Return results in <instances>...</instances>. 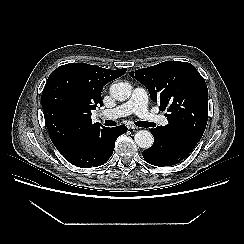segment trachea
Instances as JSON below:
<instances>
[{"mask_svg": "<svg viewBox=\"0 0 244 244\" xmlns=\"http://www.w3.org/2000/svg\"><path fill=\"white\" fill-rule=\"evenodd\" d=\"M116 124H117V122L112 121V120H106V121H105V125H106V126H115ZM135 124H136L138 127H145V128L153 127V123L145 122V121H137V122H135Z\"/></svg>", "mask_w": 244, "mask_h": 244, "instance_id": "obj_1", "label": "trachea"}]
</instances>
